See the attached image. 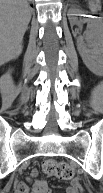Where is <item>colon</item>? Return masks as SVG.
I'll list each match as a JSON object with an SVG mask.
<instances>
[{"instance_id":"obj_1","label":"colon","mask_w":103,"mask_h":193,"mask_svg":"<svg viewBox=\"0 0 103 193\" xmlns=\"http://www.w3.org/2000/svg\"><path fill=\"white\" fill-rule=\"evenodd\" d=\"M43 171L50 175L55 176L61 180H70L74 178L75 169L66 162H57L53 159H47L42 164Z\"/></svg>"}]
</instances>
